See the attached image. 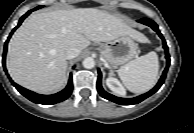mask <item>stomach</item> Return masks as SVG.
<instances>
[{"label":"stomach","mask_w":194,"mask_h":133,"mask_svg":"<svg viewBox=\"0 0 194 133\" xmlns=\"http://www.w3.org/2000/svg\"><path fill=\"white\" fill-rule=\"evenodd\" d=\"M137 44L129 35L120 36L100 46L103 60L113 67L131 61L137 54Z\"/></svg>","instance_id":"stomach-1"}]
</instances>
